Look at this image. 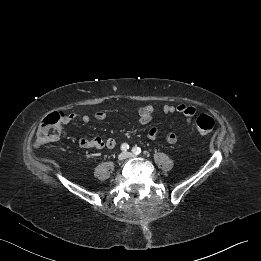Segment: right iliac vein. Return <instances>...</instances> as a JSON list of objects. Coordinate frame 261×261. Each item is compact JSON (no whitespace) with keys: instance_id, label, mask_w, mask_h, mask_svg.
<instances>
[{"instance_id":"1","label":"right iliac vein","mask_w":261,"mask_h":261,"mask_svg":"<svg viewBox=\"0 0 261 261\" xmlns=\"http://www.w3.org/2000/svg\"><path fill=\"white\" fill-rule=\"evenodd\" d=\"M125 158H126V154H125V153H120V154L118 155V160H119V161H123Z\"/></svg>"}]
</instances>
